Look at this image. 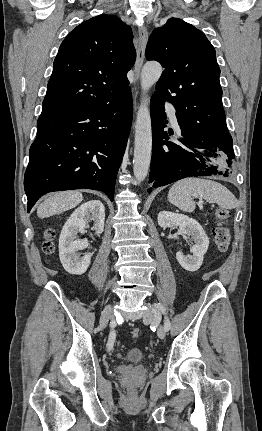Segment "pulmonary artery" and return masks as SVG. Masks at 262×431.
Returning <instances> with one entry per match:
<instances>
[{
  "instance_id": "obj_1",
  "label": "pulmonary artery",
  "mask_w": 262,
  "mask_h": 431,
  "mask_svg": "<svg viewBox=\"0 0 262 431\" xmlns=\"http://www.w3.org/2000/svg\"><path fill=\"white\" fill-rule=\"evenodd\" d=\"M165 107H166L167 113L170 117L172 125L175 128H178V122H177L176 115H175V108L170 104H166Z\"/></svg>"
}]
</instances>
